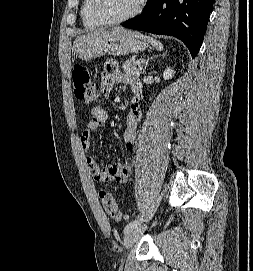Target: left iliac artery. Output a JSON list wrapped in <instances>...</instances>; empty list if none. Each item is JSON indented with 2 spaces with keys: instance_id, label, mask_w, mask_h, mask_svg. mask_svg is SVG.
<instances>
[{
  "instance_id": "left-iliac-artery-1",
  "label": "left iliac artery",
  "mask_w": 253,
  "mask_h": 271,
  "mask_svg": "<svg viewBox=\"0 0 253 271\" xmlns=\"http://www.w3.org/2000/svg\"><path fill=\"white\" fill-rule=\"evenodd\" d=\"M143 219V216L138 217L137 219L131 221L129 224L126 225V227L124 228V233H128L131 229H133L134 227H136L139 222Z\"/></svg>"
}]
</instances>
